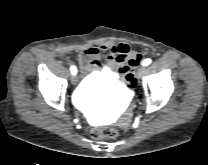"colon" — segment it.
<instances>
[{
	"label": "colon",
	"instance_id": "1",
	"mask_svg": "<svg viewBox=\"0 0 208 165\" xmlns=\"http://www.w3.org/2000/svg\"><path fill=\"white\" fill-rule=\"evenodd\" d=\"M124 78L131 89L138 87V79L135 78L132 69L124 73ZM118 135V130L113 127L96 128L91 132L94 139L116 138Z\"/></svg>",
	"mask_w": 208,
	"mask_h": 165
}]
</instances>
